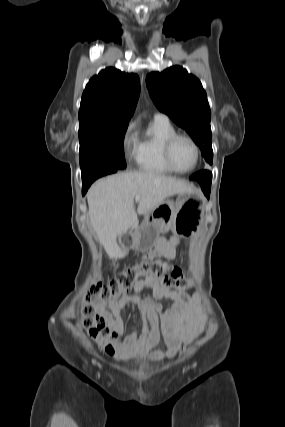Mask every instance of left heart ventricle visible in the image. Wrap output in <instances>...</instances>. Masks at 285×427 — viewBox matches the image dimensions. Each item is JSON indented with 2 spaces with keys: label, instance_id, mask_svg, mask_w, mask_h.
I'll list each match as a JSON object with an SVG mask.
<instances>
[{
  "label": "left heart ventricle",
  "instance_id": "obj_1",
  "mask_svg": "<svg viewBox=\"0 0 285 427\" xmlns=\"http://www.w3.org/2000/svg\"><path fill=\"white\" fill-rule=\"evenodd\" d=\"M172 160L179 170L190 169L195 161V150L186 139H178L172 149Z\"/></svg>",
  "mask_w": 285,
  "mask_h": 427
}]
</instances>
